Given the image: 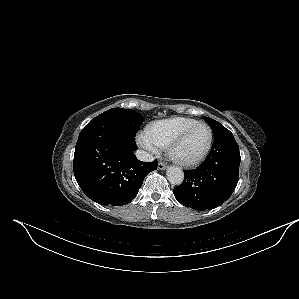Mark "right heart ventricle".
<instances>
[{
  "instance_id": "e07e8e85",
  "label": "right heart ventricle",
  "mask_w": 299,
  "mask_h": 299,
  "mask_svg": "<svg viewBox=\"0 0 299 299\" xmlns=\"http://www.w3.org/2000/svg\"><path fill=\"white\" fill-rule=\"evenodd\" d=\"M197 122L187 117H171L152 122L146 130L148 137L160 148H167L171 141L186 127Z\"/></svg>"
}]
</instances>
